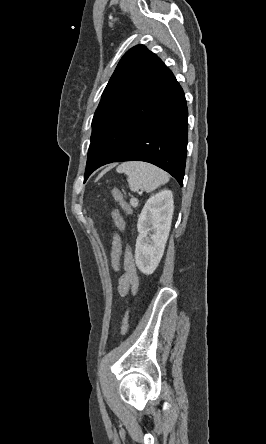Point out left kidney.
Returning <instances> with one entry per match:
<instances>
[{
    "instance_id": "5707ae66",
    "label": "left kidney",
    "mask_w": 266,
    "mask_h": 444,
    "mask_svg": "<svg viewBox=\"0 0 266 444\" xmlns=\"http://www.w3.org/2000/svg\"><path fill=\"white\" fill-rule=\"evenodd\" d=\"M173 194L162 190L151 196L139 215L135 262L145 275L158 267L164 253L174 211Z\"/></svg>"
}]
</instances>
